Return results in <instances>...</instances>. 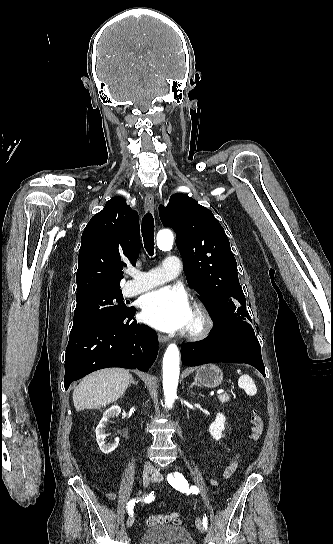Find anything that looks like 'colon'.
<instances>
[{"label": "colon", "instance_id": "5ec220e1", "mask_svg": "<svg viewBox=\"0 0 333 544\" xmlns=\"http://www.w3.org/2000/svg\"><path fill=\"white\" fill-rule=\"evenodd\" d=\"M251 424L252 427L250 437L253 442H258L263 432V420L258 413L254 412L252 414ZM165 523L180 525L181 519L177 513L151 515L146 519V524L148 526H155Z\"/></svg>", "mask_w": 333, "mask_h": 544}]
</instances>
